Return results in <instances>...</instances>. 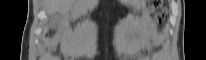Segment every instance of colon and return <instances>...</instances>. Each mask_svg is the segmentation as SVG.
I'll use <instances>...</instances> for the list:
<instances>
[{
  "instance_id": "1",
  "label": "colon",
  "mask_w": 206,
  "mask_h": 60,
  "mask_svg": "<svg viewBox=\"0 0 206 60\" xmlns=\"http://www.w3.org/2000/svg\"><path fill=\"white\" fill-rule=\"evenodd\" d=\"M159 5H160L159 2H156L154 5V9L156 10L159 7ZM156 15H157L158 20H161L162 14L157 12Z\"/></svg>"
}]
</instances>
